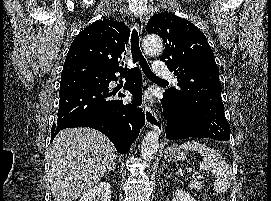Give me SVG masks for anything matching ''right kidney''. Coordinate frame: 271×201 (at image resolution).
<instances>
[{
  "label": "right kidney",
  "mask_w": 271,
  "mask_h": 201,
  "mask_svg": "<svg viewBox=\"0 0 271 201\" xmlns=\"http://www.w3.org/2000/svg\"><path fill=\"white\" fill-rule=\"evenodd\" d=\"M111 201V186L108 182H100L87 191L79 201Z\"/></svg>",
  "instance_id": "obj_1"
}]
</instances>
